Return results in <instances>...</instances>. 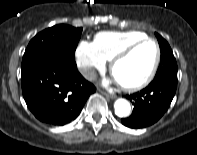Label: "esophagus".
Wrapping results in <instances>:
<instances>
[{
    "instance_id": "esophagus-1",
    "label": "esophagus",
    "mask_w": 197,
    "mask_h": 155,
    "mask_svg": "<svg viewBox=\"0 0 197 155\" xmlns=\"http://www.w3.org/2000/svg\"><path fill=\"white\" fill-rule=\"evenodd\" d=\"M107 98H111V99H115L116 96L113 95V94H109V93H105V92H102Z\"/></svg>"
}]
</instances>
